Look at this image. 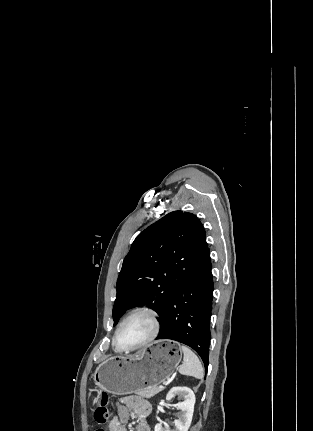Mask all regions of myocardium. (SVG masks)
<instances>
[{
	"instance_id": "myocardium-1",
	"label": "myocardium",
	"mask_w": 313,
	"mask_h": 431,
	"mask_svg": "<svg viewBox=\"0 0 313 431\" xmlns=\"http://www.w3.org/2000/svg\"><path fill=\"white\" fill-rule=\"evenodd\" d=\"M136 315H146L147 317H149V319L151 320L152 325H153L152 332H151L150 336L145 341H143L142 343H140L134 347L122 348L118 343L119 332H120L121 328L124 326V324ZM160 329H161L160 318H159L158 314L153 309L148 308V307L136 308V309L132 310L120 322L119 326L117 327L115 334H114V337H113L114 347L116 348V350H118L120 352H132V351L144 348V347L148 346L150 343H152L157 338V336L160 333Z\"/></svg>"
}]
</instances>
